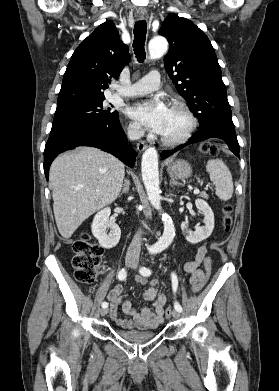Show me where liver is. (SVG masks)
<instances>
[{"label": "liver", "instance_id": "1", "mask_svg": "<svg viewBox=\"0 0 279 391\" xmlns=\"http://www.w3.org/2000/svg\"><path fill=\"white\" fill-rule=\"evenodd\" d=\"M124 164L100 149L79 147L58 156L50 167L53 211L61 236L69 239L88 217L114 202Z\"/></svg>", "mask_w": 279, "mask_h": 391}]
</instances>
